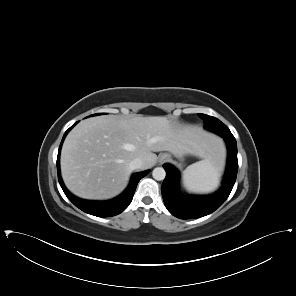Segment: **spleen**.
Here are the masks:
<instances>
[{
  "label": "spleen",
  "mask_w": 296,
  "mask_h": 296,
  "mask_svg": "<svg viewBox=\"0 0 296 296\" xmlns=\"http://www.w3.org/2000/svg\"><path fill=\"white\" fill-rule=\"evenodd\" d=\"M223 165L224 153L221 144V148L213 156L196 162L183 171L184 187L191 193L214 191L219 185Z\"/></svg>",
  "instance_id": "1"
}]
</instances>
